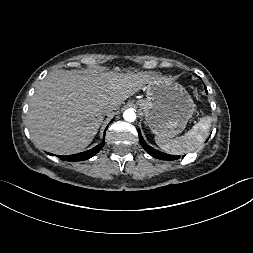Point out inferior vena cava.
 <instances>
[{
  "mask_svg": "<svg viewBox=\"0 0 253 253\" xmlns=\"http://www.w3.org/2000/svg\"><path fill=\"white\" fill-rule=\"evenodd\" d=\"M113 111H115V107L113 105H108L105 107L104 109V113L105 114H109L112 113Z\"/></svg>",
  "mask_w": 253,
  "mask_h": 253,
  "instance_id": "inferior-vena-cava-1",
  "label": "inferior vena cava"
}]
</instances>
